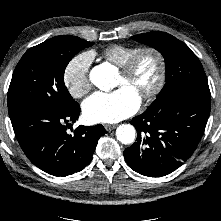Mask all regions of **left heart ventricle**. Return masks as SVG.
I'll return each instance as SVG.
<instances>
[{"instance_id": "b2bd125f", "label": "left heart ventricle", "mask_w": 221, "mask_h": 221, "mask_svg": "<svg viewBox=\"0 0 221 221\" xmlns=\"http://www.w3.org/2000/svg\"><path fill=\"white\" fill-rule=\"evenodd\" d=\"M157 75L158 62L153 55L147 54L140 59L134 74L130 78H125L120 73L117 86L128 87L140 98L144 92L154 85Z\"/></svg>"}]
</instances>
